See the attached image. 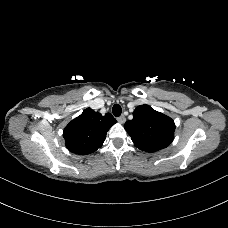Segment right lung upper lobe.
Wrapping results in <instances>:
<instances>
[{"instance_id":"obj_1","label":"right lung upper lobe","mask_w":228,"mask_h":228,"mask_svg":"<svg viewBox=\"0 0 228 228\" xmlns=\"http://www.w3.org/2000/svg\"><path fill=\"white\" fill-rule=\"evenodd\" d=\"M115 123L116 120L110 113L102 116L87 108L65 127L63 137L66 147L79 155L93 153L102 146L107 131Z\"/></svg>"}]
</instances>
